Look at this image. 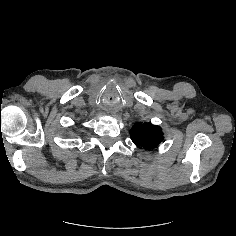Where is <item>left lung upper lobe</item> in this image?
Returning <instances> with one entry per match:
<instances>
[{"instance_id":"obj_1","label":"left lung upper lobe","mask_w":236,"mask_h":236,"mask_svg":"<svg viewBox=\"0 0 236 236\" xmlns=\"http://www.w3.org/2000/svg\"><path fill=\"white\" fill-rule=\"evenodd\" d=\"M130 135L136 146L146 150L157 147L163 140L162 129L149 123H135L130 130Z\"/></svg>"}]
</instances>
